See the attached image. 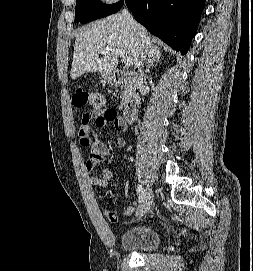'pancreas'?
I'll return each instance as SVG.
<instances>
[{"label": "pancreas", "mask_w": 253, "mask_h": 271, "mask_svg": "<svg viewBox=\"0 0 253 271\" xmlns=\"http://www.w3.org/2000/svg\"><path fill=\"white\" fill-rule=\"evenodd\" d=\"M130 93H131V86L125 85V89L121 95V106H123L127 103V101L129 100V97H130Z\"/></svg>", "instance_id": "1"}]
</instances>
